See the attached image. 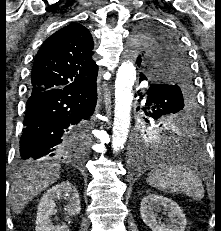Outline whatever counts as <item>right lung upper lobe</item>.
Returning a JSON list of instances; mask_svg holds the SVG:
<instances>
[{"label":"right lung upper lobe","instance_id":"right-lung-upper-lobe-1","mask_svg":"<svg viewBox=\"0 0 221 231\" xmlns=\"http://www.w3.org/2000/svg\"><path fill=\"white\" fill-rule=\"evenodd\" d=\"M89 30L72 23L51 35L36 54L30 94L66 86L83 87L97 78Z\"/></svg>","mask_w":221,"mask_h":231}]
</instances>
